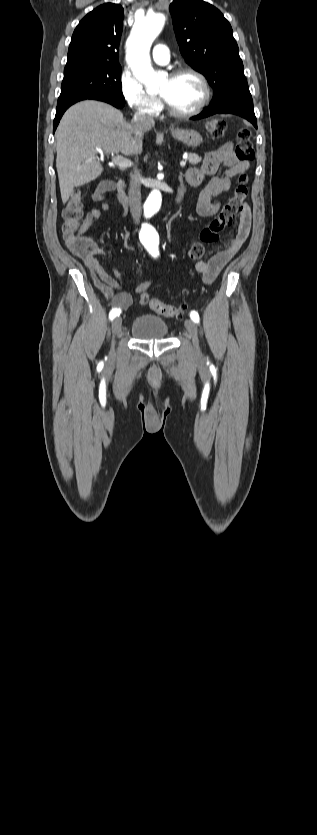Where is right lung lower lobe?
Wrapping results in <instances>:
<instances>
[{"instance_id": "98d812e1", "label": "right lung lower lobe", "mask_w": 317, "mask_h": 835, "mask_svg": "<svg viewBox=\"0 0 317 835\" xmlns=\"http://www.w3.org/2000/svg\"><path fill=\"white\" fill-rule=\"evenodd\" d=\"M85 99H93V100H99V101L107 102V103H109V104H111V105H113L117 108H122L125 104V100L122 97L114 96V95H111V94H97V95H93V96H90V97H87V98L74 100L72 102L65 103V104H62V105H57L56 115H55V119H54V122H53V131L56 130V128L58 126V123H59L63 113L66 111V109L68 107H70L72 104H74L78 101H81V100H85Z\"/></svg>"}]
</instances>
